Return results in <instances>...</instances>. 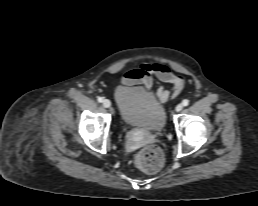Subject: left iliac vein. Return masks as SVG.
<instances>
[{
	"label": "left iliac vein",
	"mask_w": 258,
	"mask_h": 206,
	"mask_svg": "<svg viewBox=\"0 0 258 206\" xmlns=\"http://www.w3.org/2000/svg\"><path fill=\"white\" fill-rule=\"evenodd\" d=\"M182 109H183V105H182V104H178V105L176 106V108H175V110H176L177 112H180Z\"/></svg>",
	"instance_id": "left-iliac-vein-1"
}]
</instances>
